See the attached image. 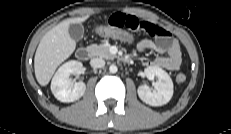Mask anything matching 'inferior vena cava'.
<instances>
[{
  "label": "inferior vena cava",
  "mask_w": 231,
  "mask_h": 134,
  "mask_svg": "<svg viewBox=\"0 0 231 134\" xmlns=\"http://www.w3.org/2000/svg\"><path fill=\"white\" fill-rule=\"evenodd\" d=\"M90 65L94 68H102L105 65V61L101 58H93L90 61Z\"/></svg>",
  "instance_id": "inferior-vena-cava-1"
}]
</instances>
